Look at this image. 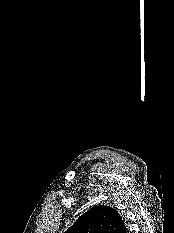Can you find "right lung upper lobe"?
<instances>
[{"label": "right lung upper lobe", "instance_id": "1", "mask_svg": "<svg viewBox=\"0 0 174 233\" xmlns=\"http://www.w3.org/2000/svg\"><path fill=\"white\" fill-rule=\"evenodd\" d=\"M65 233H126V227L115 209L99 205L81 215Z\"/></svg>", "mask_w": 174, "mask_h": 233}]
</instances>
